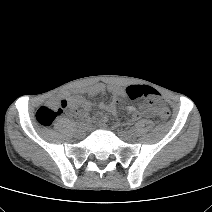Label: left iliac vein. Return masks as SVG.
<instances>
[{"mask_svg":"<svg viewBox=\"0 0 212 212\" xmlns=\"http://www.w3.org/2000/svg\"><path fill=\"white\" fill-rule=\"evenodd\" d=\"M118 135L124 141H130L133 139V134L129 131L119 130Z\"/></svg>","mask_w":212,"mask_h":212,"instance_id":"1","label":"left iliac vein"}]
</instances>
